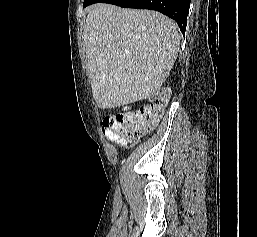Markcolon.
Here are the masks:
<instances>
[{"instance_id":"colon-1","label":"colon","mask_w":257,"mask_h":237,"mask_svg":"<svg viewBox=\"0 0 257 237\" xmlns=\"http://www.w3.org/2000/svg\"><path fill=\"white\" fill-rule=\"evenodd\" d=\"M171 94V88L166 86L158 91L147 105L135 113L118 112L106 117L102 124V133L107 138L129 140L154 129L163 114Z\"/></svg>"}]
</instances>
